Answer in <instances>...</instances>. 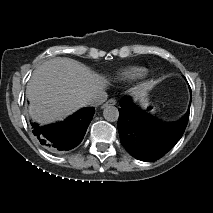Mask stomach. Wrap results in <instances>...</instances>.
Returning <instances> with one entry per match:
<instances>
[{"label":"stomach","instance_id":"stomach-1","mask_svg":"<svg viewBox=\"0 0 213 213\" xmlns=\"http://www.w3.org/2000/svg\"><path fill=\"white\" fill-rule=\"evenodd\" d=\"M142 105H144L145 108H147L149 105L145 102H142Z\"/></svg>","mask_w":213,"mask_h":213}]
</instances>
